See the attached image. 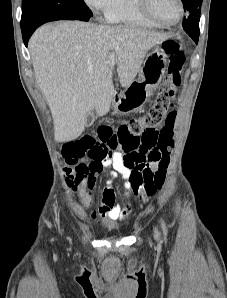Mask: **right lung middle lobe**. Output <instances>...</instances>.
<instances>
[{"label":"right lung middle lobe","instance_id":"obj_1","mask_svg":"<svg viewBox=\"0 0 227 298\" xmlns=\"http://www.w3.org/2000/svg\"><path fill=\"white\" fill-rule=\"evenodd\" d=\"M93 16L83 0H22L21 30L49 19L88 21Z\"/></svg>","mask_w":227,"mask_h":298}]
</instances>
